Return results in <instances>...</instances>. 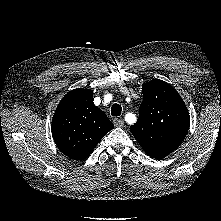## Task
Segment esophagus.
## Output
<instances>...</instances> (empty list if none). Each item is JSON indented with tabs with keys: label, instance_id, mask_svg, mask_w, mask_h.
Wrapping results in <instances>:
<instances>
[{
	"label": "esophagus",
	"instance_id": "34e87169",
	"mask_svg": "<svg viewBox=\"0 0 221 221\" xmlns=\"http://www.w3.org/2000/svg\"><path fill=\"white\" fill-rule=\"evenodd\" d=\"M113 122L116 127H122L124 125L123 119L120 118H115Z\"/></svg>",
	"mask_w": 221,
	"mask_h": 221
}]
</instances>
